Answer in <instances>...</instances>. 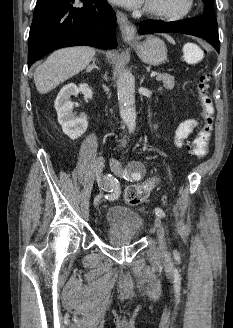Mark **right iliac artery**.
<instances>
[{"instance_id": "82829eb1", "label": "right iliac artery", "mask_w": 233, "mask_h": 328, "mask_svg": "<svg viewBox=\"0 0 233 328\" xmlns=\"http://www.w3.org/2000/svg\"><path fill=\"white\" fill-rule=\"evenodd\" d=\"M111 175H108L106 177L107 185L105 187L108 194L105 195V199L109 201H113L118 199L120 195V187L119 183L116 179H113L110 177Z\"/></svg>"}]
</instances>
